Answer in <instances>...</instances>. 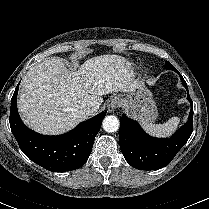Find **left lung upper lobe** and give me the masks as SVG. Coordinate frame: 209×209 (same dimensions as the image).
Returning a JSON list of instances; mask_svg holds the SVG:
<instances>
[{
	"instance_id": "1",
	"label": "left lung upper lobe",
	"mask_w": 209,
	"mask_h": 209,
	"mask_svg": "<svg viewBox=\"0 0 209 209\" xmlns=\"http://www.w3.org/2000/svg\"><path fill=\"white\" fill-rule=\"evenodd\" d=\"M165 67L168 68V69H171V70L175 69L168 61H166Z\"/></svg>"
}]
</instances>
